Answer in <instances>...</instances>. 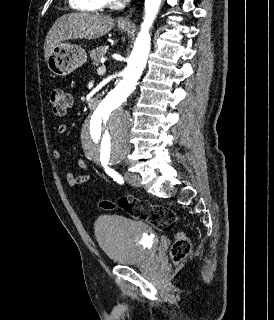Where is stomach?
Returning <instances> with one entry per match:
<instances>
[{
    "instance_id": "0dacf381",
    "label": "stomach",
    "mask_w": 274,
    "mask_h": 320,
    "mask_svg": "<svg viewBox=\"0 0 274 320\" xmlns=\"http://www.w3.org/2000/svg\"><path fill=\"white\" fill-rule=\"evenodd\" d=\"M120 32H128L131 26H118ZM87 62V54L80 46H71V44H61L52 50L47 66L54 76H69L71 72L81 68Z\"/></svg>"
}]
</instances>
